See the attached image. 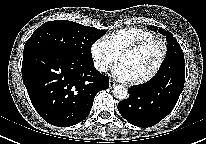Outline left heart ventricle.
Here are the masks:
<instances>
[{
    "label": "left heart ventricle",
    "instance_id": "1",
    "mask_svg": "<svg viewBox=\"0 0 206 144\" xmlns=\"http://www.w3.org/2000/svg\"><path fill=\"white\" fill-rule=\"evenodd\" d=\"M160 55L159 43L152 42L139 51L125 56L120 63L127 68L132 80H135L148 75L156 66Z\"/></svg>",
    "mask_w": 206,
    "mask_h": 144
}]
</instances>
